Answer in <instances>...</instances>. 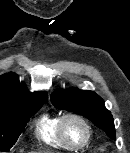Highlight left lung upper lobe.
<instances>
[{
    "mask_svg": "<svg viewBox=\"0 0 130 153\" xmlns=\"http://www.w3.org/2000/svg\"><path fill=\"white\" fill-rule=\"evenodd\" d=\"M51 101L59 109L86 117L115 140L113 117L110 111L105 108L103 99L95 92L77 88L59 89L51 95Z\"/></svg>",
    "mask_w": 130,
    "mask_h": 153,
    "instance_id": "5c2ea615",
    "label": "left lung upper lobe"
}]
</instances>
